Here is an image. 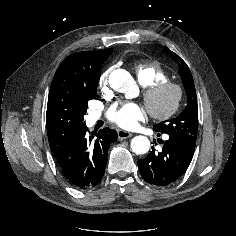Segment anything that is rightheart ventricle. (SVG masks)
I'll list each match as a JSON object with an SVG mask.
<instances>
[{"label": "right heart ventricle", "instance_id": "right-heart-ventricle-1", "mask_svg": "<svg viewBox=\"0 0 236 236\" xmlns=\"http://www.w3.org/2000/svg\"><path fill=\"white\" fill-rule=\"evenodd\" d=\"M138 82L144 88L161 81L168 80V74L157 61H145L136 65Z\"/></svg>", "mask_w": 236, "mask_h": 236}]
</instances>
